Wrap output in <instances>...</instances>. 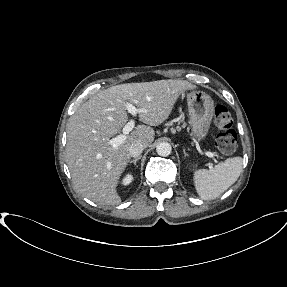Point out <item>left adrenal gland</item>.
<instances>
[{
  "mask_svg": "<svg viewBox=\"0 0 287 287\" xmlns=\"http://www.w3.org/2000/svg\"><path fill=\"white\" fill-rule=\"evenodd\" d=\"M183 151H184V156H188V154L186 153L185 149H183Z\"/></svg>",
  "mask_w": 287,
  "mask_h": 287,
  "instance_id": "1",
  "label": "left adrenal gland"
}]
</instances>
